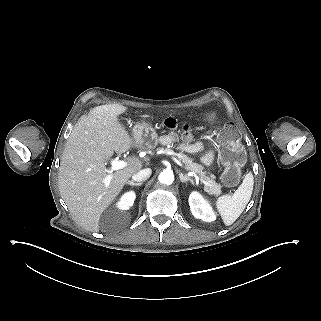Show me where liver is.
<instances>
[{"label": "liver", "mask_w": 321, "mask_h": 321, "mask_svg": "<svg viewBox=\"0 0 321 321\" xmlns=\"http://www.w3.org/2000/svg\"><path fill=\"white\" fill-rule=\"evenodd\" d=\"M120 104L94 107L75 124L62 154L58 188L72 219L85 230L99 232L103 211L115 200L125 182L142 168L137 158L111 173L105 162L114 152L122 154L133 147L131 137L119 123L118 116L126 111Z\"/></svg>", "instance_id": "1"}]
</instances>
